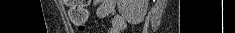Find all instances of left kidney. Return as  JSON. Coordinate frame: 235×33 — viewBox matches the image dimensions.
<instances>
[{"mask_svg":"<svg viewBox=\"0 0 235 33\" xmlns=\"http://www.w3.org/2000/svg\"><path fill=\"white\" fill-rule=\"evenodd\" d=\"M149 0H118L117 7L119 13L129 23L141 22L147 12Z\"/></svg>","mask_w":235,"mask_h":33,"instance_id":"left-kidney-1","label":"left kidney"}]
</instances>
